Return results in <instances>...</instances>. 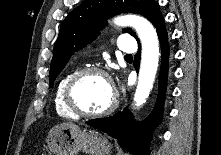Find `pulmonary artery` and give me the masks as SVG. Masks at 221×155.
Listing matches in <instances>:
<instances>
[{
    "label": "pulmonary artery",
    "mask_w": 221,
    "mask_h": 155,
    "mask_svg": "<svg viewBox=\"0 0 221 155\" xmlns=\"http://www.w3.org/2000/svg\"><path fill=\"white\" fill-rule=\"evenodd\" d=\"M118 48L124 53H133L136 50V43L130 35H121L117 42Z\"/></svg>",
    "instance_id": "pulmonary-artery-1"
}]
</instances>
